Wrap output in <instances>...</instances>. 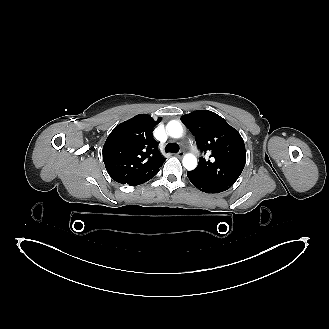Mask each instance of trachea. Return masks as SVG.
<instances>
[{
    "mask_svg": "<svg viewBox=\"0 0 329 329\" xmlns=\"http://www.w3.org/2000/svg\"><path fill=\"white\" fill-rule=\"evenodd\" d=\"M165 151L172 152V153H177L179 151V147L176 144L173 143H168L165 147Z\"/></svg>",
    "mask_w": 329,
    "mask_h": 329,
    "instance_id": "trachea-1",
    "label": "trachea"
}]
</instances>
